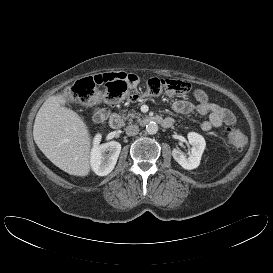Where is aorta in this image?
Listing matches in <instances>:
<instances>
[{"label":"aorta","instance_id":"1","mask_svg":"<svg viewBox=\"0 0 273 273\" xmlns=\"http://www.w3.org/2000/svg\"><path fill=\"white\" fill-rule=\"evenodd\" d=\"M146 131L150 135H154L158 132V125L155 122H149L146 125Z\"/></svg>","mask_w":273,"mask_h":273}]
</instances>
